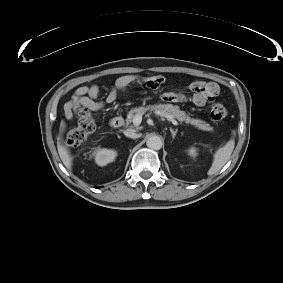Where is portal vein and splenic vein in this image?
<instances>
[{
  "label": "portal vein and splenic vein",
  "instance_id": "obj_1",
  "mask_svg": "<svg viewBox=\"0 0 283 283\" xmlns=\"http://www.w3.org/2000/svg\"><path fill=\"white\" fill-rule=\"evenodd\" d=\"M168 119L172 122L173 125L176 126L178 125V122L171 116H169ZM141 121H142V114H136L132 120L134 126H139L141 124Z\"/></svg>",
  "mask_w": 283,
  "mask_h": 283
}]
</instances>
